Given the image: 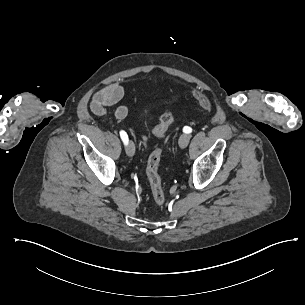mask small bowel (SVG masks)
I'll return each instance as SVG.
<instances>
[{
	"mask_svg": "<svg viewBox=\"0 0 305 305\" xmlns=\"http://www.w3.org/2000/svg\"><path fill=\"white\" fill-rule=\"evenodd\" d=\"M124 95V89L119 83H112L98 90L90 102L91 111L97 116H106L108 108L118 103ZM129 108L126 105H120L116 108L113 116L116 120H122L127 117Z\"/></svg>",
	"mask_w": 305,
	"mask_h": 305,
	"instance_id": "1",
	"label": "small bowel"
}]
</instances>
